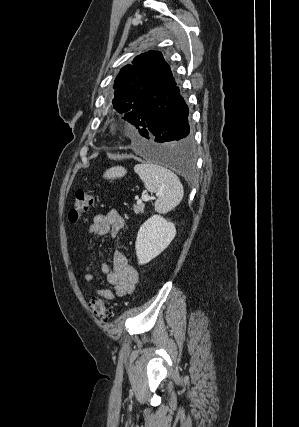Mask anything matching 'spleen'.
Masks as SVG:
<instances>
[{"label":"spleen","instance_id":"1","mask_svg":"<svg viewBox=\"0 0 299 427\" xmlns=\"http://www.w3.org/2000/svg\"><path fill=\"white\" fill-rule=\"evenodd\" d=\"M134 171L145 188L157 194L158 199L154 204L156 212L167 213L181 202L184 194L183 186L172 171L153 163L137 164Z\"/></svg>","mask_w":299,"mask_h":427}]
</instances>
